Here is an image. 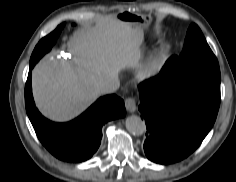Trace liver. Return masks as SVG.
Here are the masks:
<instances>
[{"label":"liver","instance_id":"1","mask_svg":"<svg viewBox=\"0 0 236 182\" xmlns=\"http://www.w3.org/2000/svg\"><path fill=\"white\" fill-rule=\"evenodd\" d=\"M143 31L115 18L74 34L68 48L78 58L71 66L64 60H42L33 70L32 86L39 110L54 121L70 120L100 95V85L134 68L141 59Z\"/></svg>","mask_w":236,"mask_h":182}]
</instances>
